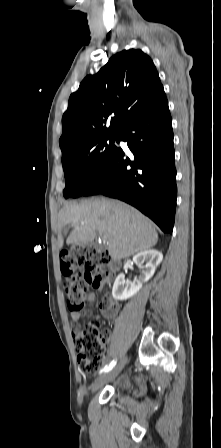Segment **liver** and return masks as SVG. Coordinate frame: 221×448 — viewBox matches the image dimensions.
<instances>
[{
    "mask_svg": "<svg viewBox=\"0 0 221 448\" xmlns=\"http://www.w3.org/2000/svg\"><path fill=\"white\" fill-rule=\"evenodd\" d=\"M58 226L61 232L73 227L67 245L90 243L99 232L114 260L146 251L158 241V234L147 217L126 203L105 198L65 205L59 213ZM63 244L60 236V249Z\"/></svg>",
    "mask_w": 221,
    "mask_h": 448,
    "instance_id": "1",
    "label": "liver"
}]
</instances>
